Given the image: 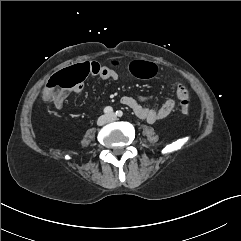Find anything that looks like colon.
Masks as SVG:
<instances>
[{
	"instance_id": "5ec220e1",
	"label": "colon",
	"mask_w": 241,
	"mask_h": 241,
	"mask_svg": "<svg viewBox=\"0 0 241 241\" xmlns=\"http://www.w3.org/2000/svg\"><path fill=\"white\" fill-rule=\"evenodd\" d=\"M130 69L138 77H152L156 73V66L146 62H133ZM90 72L91 65L86 60H78L74 65L58 71L47 82L45 99L53 103L64 101L66 92L75 89ZM177 96L180 100L181 113L187 115L190 112L187 89L180 88Z\"/></svg>"
}]
</instances>
